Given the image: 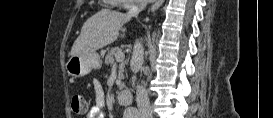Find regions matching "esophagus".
<instances>
[{
    "mask_svg": "<svg viewBox=\"0 0 273 118\" xmlns=\"http://www.w3.org/2000/svg\"><path fill=\"white\" fill-rule=\"evenodd\" d=\"M164 3V0H158L156 1L152 7H151V13H154L157 11V9Z\"/></svg>",
    "mask_w": 273,
    "mask_h": 118,
    "instance_id": "esophagus-1",
    "label": "esophagus"
}]
</instances>
